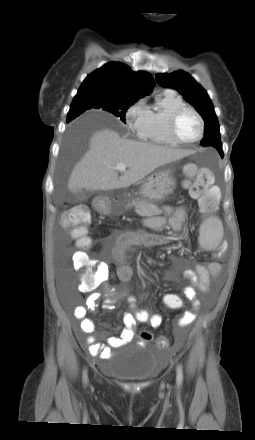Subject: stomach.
Returning <instances> with one entry per match:
<instances>
[{
	"label": "stomach",
	"mask_w": 255,
	"mask_h": 440,
	"mask_svg": "<svg viewBox=\"0 0 255 440\" xmlns=\"http://www.w3.org/2000/svg\"><path fill=\"white\" fill-rule=\"evenodd\" d=\"M175 185L171 171L161 169L142 182L140 194L147 201H161L173 192ZM99 207L103 212L118 213L121 211V207H113L108 202H103Z\"/></svg>",
	"instance_id": "0dacf381"
}]
</instances>
